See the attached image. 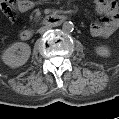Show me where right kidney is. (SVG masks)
<instances>
[{"label":"right kidney","instance_id":"ca27d5eb","mask_svg":"<svg viewBox=\"0 0 119 119\" xmlns=\"http://www.w3.org/2000/svg\"><path fill=\"white\" fill-rule=\"evenodd\" d=\"M31 49L28 44L16 42L9 46L3 53L4 63L12 68L24 65L29 59Z\"/></svg>","mask_w":119,"mask_h":119}]
</instances>
